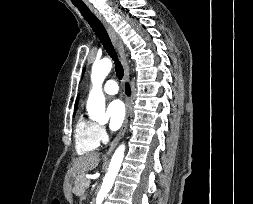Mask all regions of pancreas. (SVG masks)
<instances>
[{"label": "pancreas", "mask_w": 253, "mask_h": 204, "mask_svg": "<svg viewBox=\"0 0 253 204\" xmlns=\"http://www.w3.org/2000/svg\"><path fill=\"white\" fill-rule=\"evenodd\" d=\"M88 179L85 178L84 176H79L77 177L76 179V182H75V186H74V189H73V192L76 194V195H83L84 194V191L86 189V186H85V183Z\"/></svg>", "instance_id": "obj_1"}]
</instances>
